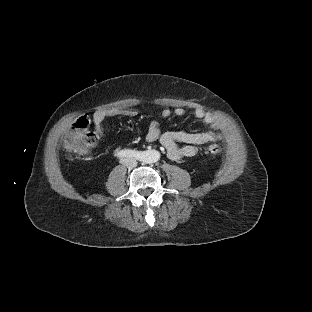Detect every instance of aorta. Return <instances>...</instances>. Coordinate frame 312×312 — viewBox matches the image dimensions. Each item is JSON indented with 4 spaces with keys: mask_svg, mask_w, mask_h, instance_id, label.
Segmentation results:
<instances>
[{
    "mask_svg": "<svg viewBox=\"0 0 312 312\" xmlns=\"http://www.w3.org/2000/svg\"><path fill=\"white\" fill-rule=\"evenodd\" d=\"M161 158V154L158 150H150V154L148 155V162L155 163L158 162Z\"/></svg>",
    "mask_w": 312,
    "mask_h": 312,
    "instance_id": "obj_1",
    "label": "aorta"
}]
</instances>
